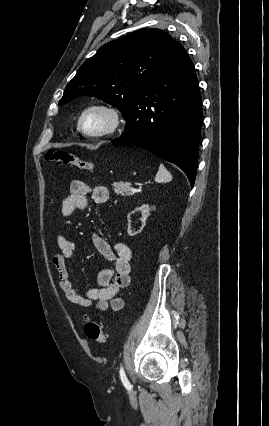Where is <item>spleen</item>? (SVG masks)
<instances>
[{
    "label": "spleen",
    "mask_w": 269,
    "mask_h": 426,
    "mask_svg": "<svg viewBox=\"0 0 269 426\" xmlns=\"http://www.w3.org/2000/svg\"><path fill=\"white\" fill-rule=\"evenodd\" d=\"M172 180V175L169 171L164 167V165L160 164L159 170L155 176V181L157 183H166Z\"/></svg>",
    "instance_id": "spleen-1"
}]
</instances>
